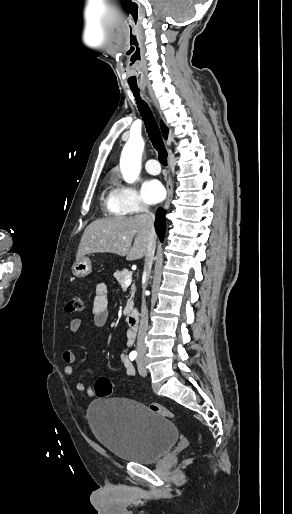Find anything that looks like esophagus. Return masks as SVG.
I'll list each match as a JSON object with an SVG mask.
<instances>
[{
	"label": "esophagus",
	"instance_id": "esophagus-1",
	"mask_svg": "<svg viewBox=\"0 0 292 514\" xmlns=\"http://www.w3.org/2000/svg\"><path fill=\"white\" fill-rule=\"evenodd\" d=\"M166 187H167V194L168 195H167L166 202L164 204V208H168L169 207L170 201L172 199V183H171L170 179L167 180Z\"/></svg>",
	"mask_w": 292,
	"mask_h": 514
}]
</instances>
